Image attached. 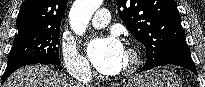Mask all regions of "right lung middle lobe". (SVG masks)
Here are the masks:
<instances>
[{
    "mask_svg": "<svg viewBox=\"0 0 205 87\" xmlns=\"http://www.w3.org/2000/svg\"><path fill=\"white\" fill-rule=\"evenodd\" d=\"M59 29L19 31L14 39L8 59L34 58L52 65H60L58 47Z\"/></svg>",
    "mask_w": 205,
    "mask_h": 87,
    "instance_id": "obj_1",
    "label": "right lung middle lobe"
}]
</instances>
